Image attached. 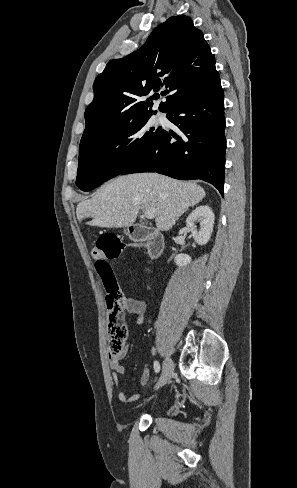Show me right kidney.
<instances>
[{"instance_id":"right-kidney-1","label":"right kidney","mask_w":297,"mask_h":488,"mask_svg":"<svg viewBox=\"0 0 297 488\" xmlns=\"http://www.w3.org/2000/svg\"><path fill=\"white\" fill-rule=\"evenodd\" d=\"M200 220L201 228L196 229L195 221ZM214 214L208 205H203L195 208L186 218V228L189 230L199 245H205L210 240L213 232ZM174 262L178 267H184L190 264L191 257L187 254H178L174 258Z\"/></svg>"}]
</instances>
